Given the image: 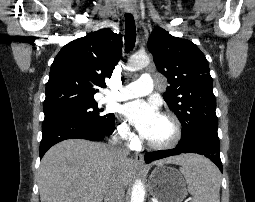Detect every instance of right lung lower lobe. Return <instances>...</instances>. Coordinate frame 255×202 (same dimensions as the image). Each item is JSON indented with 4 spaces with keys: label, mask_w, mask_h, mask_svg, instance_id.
I'll use <instances>...</instances> for the list:
<instances>
[{
    "label": "right lung lower lobe",
    "mask_w": 255,
    "mask_h": 202,
    "mask_svg": "<svg viewBox=\"0 0 255 202\" xmlns=\"http://www.w3.org/2000/svg\"><path fill=\"white\" fill-rule=\"evenodd\" d=\"M114 131V121L111 127L99 129L78 119L47 120L42 124V140L40 144V158L54 144L66 139H87L100 141Z\"/></svg>",
    "instance_id": "1"
}]
</instances>
